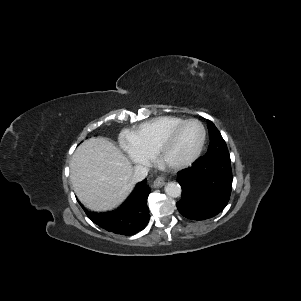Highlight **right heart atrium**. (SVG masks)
I'll return each instance as SVG.
<instances>
[{
	"label": "right heart atrium",
	"mask_w": 301,
	"mask_h": 301,
	"mask_svg": "<svg viewBox=\"0 0 301 301\" xmlns=\"http://www.w3.org/2000/svg\"><path fill=\"white\" fill-rule=\"evenodd\" d=\"M120 145L133 163L148 165L151 162V155L140 150L128 136L120 139Z\"/></svg>",
	"instance_id": "obj_1"
}]
</instances>
